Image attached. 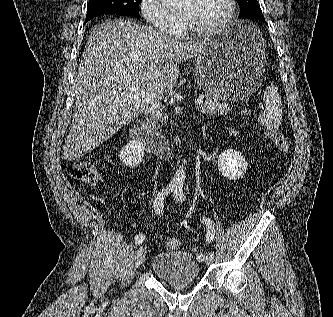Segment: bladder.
I'll return each instance as SVG.
<instances>
[{
    "mask_svg": "<svg viewBox=\"0 0 333 317\" xmlns=\"http://www.w3.org/2000/svg\"><path fill=\"white\" fill-rule=\"evenodd\" d=\"M152 273L172 285L192 284L200 278V266L195 256L183 250L155 254L150 262Z\"/></svg>",
    "mask_w": 333,
    "mask_h": 317,
    "instance_id": "obj_1",
    "label": "bladder"
}]
</instances>
